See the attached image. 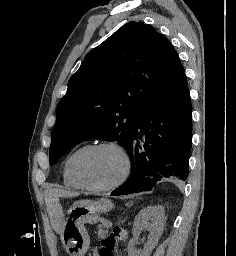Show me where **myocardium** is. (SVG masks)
I'll return each instance as SVG.
<instances>
[{"label": "myocardium", "mask_w": 236, "mask_h": 256, "mask_svg": "<svg viewBox=\"0 0 236 256\" xmlns=\"http://www.w3.org/2000/svg\"><path fill=\"white\" fill-rule=\"evenodd\" d=\"M104 148H113L117 150L122 158H123V163H124V168H123V173L121 177L118 179L117 182L114 184L107 186V187H94L90 185L86 179L85 176V164L88 160V158L94 154L95 152L104 149ZM132 170V161L129 152L127 149L117 141H104L98 144H95L91 146L79 159L78 165H77V176L78 180L83 186L84 189L92 192V193H109L112 192L119 187H121L129 178Z\"/></svg>", "instance_id": "f54148a6"}]
</instances>
